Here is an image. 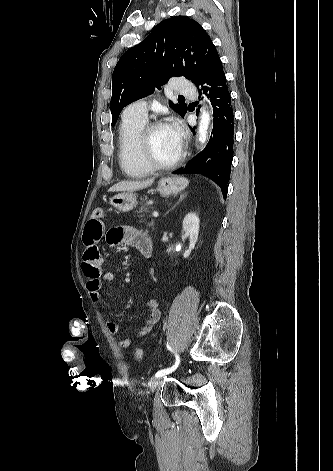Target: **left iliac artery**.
<instances>
[{
    "instance_id": "1",
    "label": "left iliac artery",
    "mask_w": 333,
    "mask_h": 471,
    "mask_svg": "<svg viewBox=\"0 0 333 471\" xmlns=\"http://www.w3.org/2000/svg\"><path fill=\"white\" fill-rule=\"evenodd\" d=\"M167 348L172 351V348L168 345L167 343ZM175 357H176V362L175 364L170 367V368H166V369H162V370H159L156 374H155V377H160V376H163V375H166V374H169L171 372H173L179 365L180 363V359H179V356L177 354H175Z\"/></svg>"
}]
</instances>
